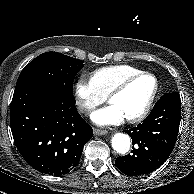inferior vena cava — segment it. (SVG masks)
I'll return each mask as SVG.
<instances>
[{"mask_svg":"<svg viewBox=\"0 0 194 194\" xmlns=\"http://www.w3.org/2000/svg\"><path fill=\"white\" fill-rule=\"evenodd\" d=\"M80 110L82 113H85V114H88L90 112V109L88 107H81Z\"/></svg>","mask_w":194,"mask_h":194,"instance_id":"obj_1","label":"inferior vena cava"}]
</instances>
